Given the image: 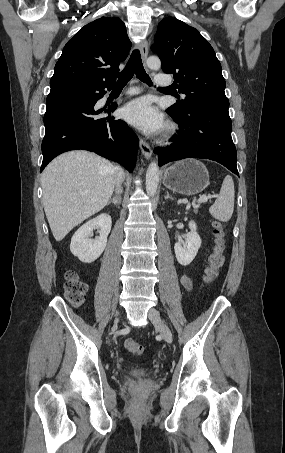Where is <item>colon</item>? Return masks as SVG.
<instances>
[{"label": "colon", "instance_id": "5ec220e1", "mask_svg": "<svg viewBox=\"0 0 285 453\" xmlns=\"http://www.w3.org/2000/svg\"><path fill=\"white\" fill-rule=\"evenodd\" d=\"M214 249L208 258V266L205 269L204 282L207 285L213 283L218 277L219 271L224 264V251L226 247V231L224 225L215 221L213 223ZM87 284L79 275L69 270L65 274V297L67 301L75 306H81L86 300ZM125 347L132 355L139 356L144 348L141 343L134 339H127Z\"/></svg>", "mask_w": 285, "mask_h": 453}]
</instances>
